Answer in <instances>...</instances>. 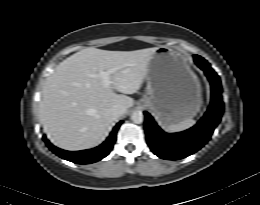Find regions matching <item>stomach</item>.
Wrapping results in <instances>:
<instances>
[{
  "instance_id": "obj_1",
  "label": "stomach",
  "mask_w": 260,
  "mask_h": 205,
  "mask_svg": "<svg viewBox=\"0 0 260 205\" xmlns=\"http://www.w3.org/2000/svg\"><path fill=\"white\" fill-rule=\"evenodd\" d=\"M145 80L147 91L141 103L162 126L193 118L200 110L201 86L181 52L159 47L148 64Z\"/></svg>"
}]
</instances>
